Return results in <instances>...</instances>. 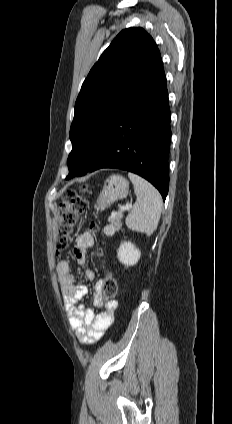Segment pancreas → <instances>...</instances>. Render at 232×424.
<instances>
[{
  "mask_svg": "<svg viewBox=\"0 0 232 424\" xmlns=\"http://www.w3.org/2000/svg\"><path fill=\"white\" fill-rule=\"evenodd\" d=\"M123 215L121 212L116 213V215L112 216V218L109 220L110 222V226L113 228L114 231H119L122 223H121V219H122Z\"/></svg>",
  "mask_w": 232,
  "mask_h": 424,
  "instance_id": "1",
  "label": "pancreas"
}]
</instances>
